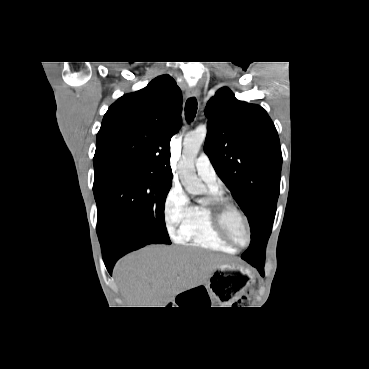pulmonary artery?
Listing matches in <instances>:
<instances>
[{"label":"pulmonary artery","instance_id":"obj_1","mask_svg":"<svg viewBox=\"0 0 369 369\" xmlns=\"http://www.w3.org/2000/svg\"><path fill=\"white\" fill-rule=\"evenodd\" d=\"M198 176L210 189L218 190L217 175L207 154L202 153L195 161Z\"/></svg>","mask_w":369,"mask_h":369}]
</instances>
